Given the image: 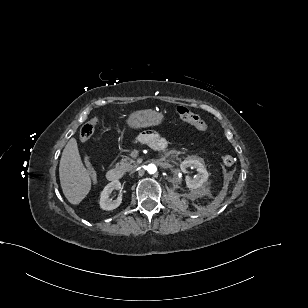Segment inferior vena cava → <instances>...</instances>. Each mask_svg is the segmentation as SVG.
<instances>
[{
	"label": "inferior vena cava",
	"instance_id": "602c4592",
	"mask_svg": "<svg viewBox=\"0 0 308 308\" xmlns=\"http://www.w3.org/2000/svg\"><path fill=\"white\" fill-rule=\"evenodd\" d=\"M136 173V170L135 169H133V168H130L129 169V174L130 175H133V174H135Z\"/></svg>",
	"mask_w": 308,
	"mask_h": 308
}]
</instances>
